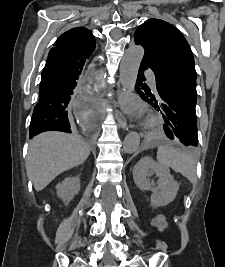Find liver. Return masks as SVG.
<instances>
[{
  "instance_id": "liver-1",
  "label": "liver",
  "mask_w": 225,
  "mask_h": 267,
  "mask_svg": "<svg viewBox=\"0 0 225 267\" xmlns=\"http://www.w3.org/2000/svg\"><path fill=\"white\" fill-rule=\"evenodd\" d=\"M90 146L76 133L45 132L29 143L26 172L36 191L43 190L62 172L83 164Z\"/></svg>"
}]
</instances>
